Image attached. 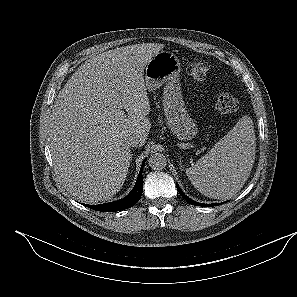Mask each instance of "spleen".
Masks as SVG:
<instances>
[{
	"mask_svg": "<svg viewBox=\"0 0 297 297\" xmlns=\"http://www.w3.org/2000/svg\"><path fill=\"white\" fill-rule=\"evenodd\" d=\"M256 135L247 115L196 164L186 169L194 187L207 197L229 199L247 181L255 160Z\"/></svg>",
	"mask_w": 297,
	"mask_h": 297,
	"instance_id": "obj_1",
	"label": "spleen"
}]
</instances>
